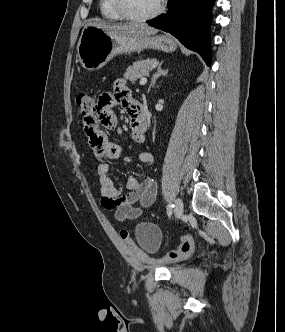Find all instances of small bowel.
I'll return each mask as SVG.
<instances>
[{
  "instance_id": "obj_1",
  "label": "small bowel",
  "mask_w": 285,
  "mask_h": 332,
  "mask_svg": "<svg viewBox=\"0 0 285 332\" xmlns=\"http://www.w3.org/2000/svg\"><path fill=\"white\" fill-rule=\"evenodd\" d=\"M122 106L130 120L131 137L134 142L144 141L147 123L143 120L140 103L130 94L123 80H117L113 92L95 96V103L90 111H84L82 121L95 157L102 162L97 173L100 185L101 204L107 210H113L118 221L138 218L143 209L150 207L156 199L157 185L152 177L139 181L135 176H129L126 182L127 193L116 186L110 174V164L106 160L118 159L124 149L120 145L108 141L103 130L114 129L118 119L113 113V107ZM138 162L143 166L153 164V155L149 152H138Z\"/></svg>"
}]
</instances>
